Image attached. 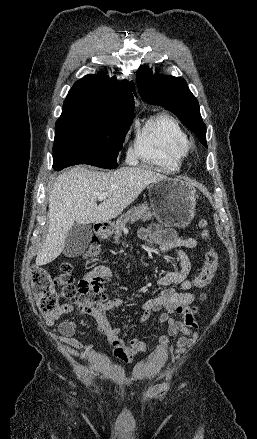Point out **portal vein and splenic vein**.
I'll return each instance as SVG.
<instances>
[{"label":"portal vein and splenic vein","mask_w":257,"mask_h":439,"mask_svg":"<svg viewBox=\"0 0 257 439\" xmlns=\"http://www.w3.org/2000/svg\"><path fill=\"white\" fill-rule=\"evenodd\" d=\"M108 197V193H101L99 196H98V200L99 201H103V200H105L106 198Z\"/></svg>","instance_id":"18ae733b"}]
</instances>
